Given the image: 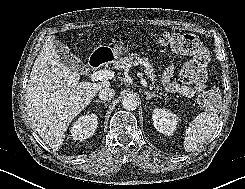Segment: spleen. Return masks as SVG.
Instances as JSON below:
<instances>
[{
    "label": "spleen",
    "mask_w": 245,
    "mask_h": 189,
    "mask_svg": "<svg viewBox=\"0 0 245 189\" xmlns=\"http://www.w3.org/2000/svg\"><path fill=\"white\" fill-rule=\"evenodd\" d=\"M219 117L214 113L202 112L189 124L185 131L183 148L186 152L196 151L214 133Z\"/></svg>",
    "instance_id": "1"
}]
</instances>
